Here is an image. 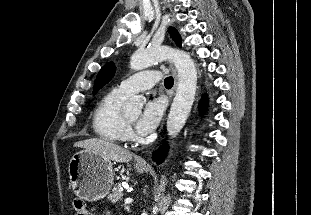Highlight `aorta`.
<instances>
[{
	"instance_id": "obj_1",
	"label": "aorta",
	"mask_w": 311,
	"mask_h": 215,
	"mask_svg": "<svg viewBox=\"0 0 311 215\" xmlns=\"http://www.w3.org/2000/svg\"><path fill=\"white\" fill-rule=\"evenodd\" d=\"M171 60L178 73V86L168 118L167 132L170 138H175L190 114L197 88V71L190 55L183 50L167 46H151L137 50L131 57L130 68L138 71L155 62ZM144 100L141 96L131 97L124 106L126 112L139 113ZM166 179L162 177L160 191H164ZM153 209H156L154 207Z\"/></svg>"
}]
</instances>
